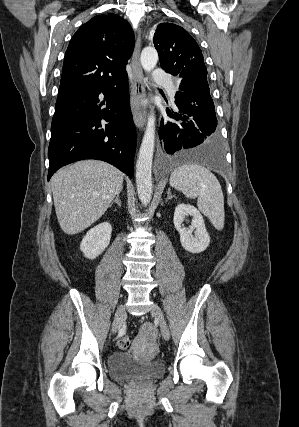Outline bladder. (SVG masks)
Wrapping results in <instances>:
<instances>
[{
    "label": "bladder",
    "instance_id": "bladder-1",
    "mask_svg": "<svg viewBox=\"0 0 299 427\" xmlns=\"http://www.w3.org/2000/svg\"><path fill=\"white\" fill-rule=\"evenodd\" d=\"M164 372V362L160 360L143 361L125 352L111 355L108 361V373L111 378L116 380L154 379Z\"/></svg>",
    "mask_w": 299,
    "mask_h": 427
}]
</instances>
